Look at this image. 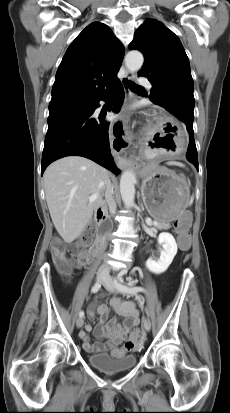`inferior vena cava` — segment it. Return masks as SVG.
<instances>
[{"mask_svg":"<svg viewBox=\"0 0 230 413\" xmlns=\"http://www.w3.org/2000/svg\"><path fill=\"white\" fill-rule=\"evenodd\" d=\"M105 199H106V202L109 206V211H110L111 215L115 214L116 202H115V199L113 197V187L111 185L110 179H108V181L106 182ZM99 272H104L106 274H109L110 267L105 263L100 267Z\"/></svg>","mask_w":230,"mask_h":413,"instance_id":"1","label":"inferior vena cava"}]
</instances>
